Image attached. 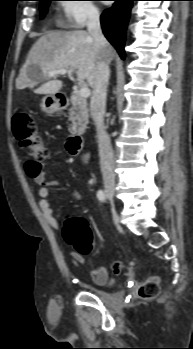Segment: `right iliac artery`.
<instances>
[{"mask_svg": "<svg viewBox=\"0 0 193 349\" xmlns=\"http://www.w3.org/2000/svg\"><path fill=\"white\" fill-rule=\"evenodd\" d=\"M97 198L102 201V202H105L106 201V194L103 190H99L97 192Z\"/></svg>", "mask_w": 193, "mask_h": 349, "instance_id": "1", "label": "right iliac artery"}]
</instances>
